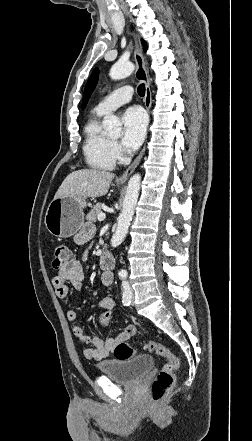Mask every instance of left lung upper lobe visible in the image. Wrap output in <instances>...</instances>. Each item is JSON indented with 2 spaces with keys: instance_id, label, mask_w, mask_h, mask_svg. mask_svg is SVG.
I'll return each mask as SVG.
<instances>
[{
  "instance_id": "obj_1",
  "label": "left lung upper lobe",
  "mask_w": 252,
  "mask_h": 441,
  "mask_svg": "<svg viewBox=\"0 0 252 441\" xmlns=\"http://www.w3.org/2000/svg\"><path fill=\"white\" fill-rule=\"evenodd\" d=\"M142 43H143L144 46L146 45L144 40H142ZM97 80H98V69H95L93 71V73L91 74V76H90V78H89V80H88V82L86 84V87H85V90H84V95H83V105H82V108H84L85 105L87 104L88 99H89L91 93L93 92V90H94V88H95V86L97 84Z\"/></svg>"
}]
</instances>
